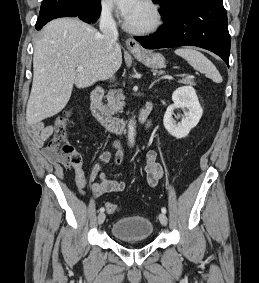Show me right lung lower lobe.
<instances>
[{"instance_id":"right-lung-lower-lobe-1","label":"right lung lower lobe","mask_w":259,"mask_h":283,"mask_svg":"<svg viewBox=\"0 0 259 283\" xmlns=\"http://www.w3.org/2000/svg\"><path fill=\"white\" fill-rule=\"evenodd\" d=\"M100 0H43L35 28L59 17H76L94 23L100 16Z\"/></svg>"}]
</instances>
